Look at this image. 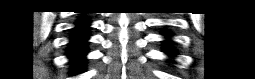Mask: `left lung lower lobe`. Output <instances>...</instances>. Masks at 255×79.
Returning <instances> with one entry per match:
<instances>
[{
  "instance_id": "obj_1",
  "label": "left lung lower lobe",
  "mask_w": 255,
  "mask_h": 79,
  "mask_svg": "<svg viewBox=\"0 0 255 79\" xmlns=\"http://www.w3.org/2000/svg\"><path fill=\"white\" fill-rule=\"evenodd\" d=\"M166 52H167L168 54H174V51L171 49L170 46H166Z\"/></svg>"
}]
</instances>
